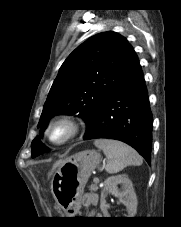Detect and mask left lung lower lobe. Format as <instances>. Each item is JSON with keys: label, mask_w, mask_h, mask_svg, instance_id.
Returning <instances> with one entry per match:
<instances>
[{"label": "left lung lower lobe", "mask_w": 181, "mask_h": 227, "mask_svg": "<svg viewBox=\"0 0 181 227\" xmlns=\"http://www.w3.org/2000/svg\"><path fill=\"white\" fill-rule=\"evenodd\" d=\"M152 112L138 58L103 104L85 139L109 138L127 143L150 163Z\"/></svg>", "instance_id": "left-lung-lower-lobe-1"}]
</instances>
